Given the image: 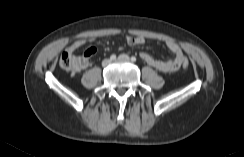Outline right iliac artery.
<instances>
[{"instance_id":"obj_1","label":"right iliac artery","mask_w":244,"mask_h":157,"mask_svg":"<svg viewBox=\"0 0 244 157\" xmlns=\"http://www.w3.org/2000/svg\"><path fill=\"white\" fill-rule=\"evenodd\" d=\"M110 59H111V60H115V59H116V55H115V54H112V55L110 56Z\"/></svg>"}]
</instances>
